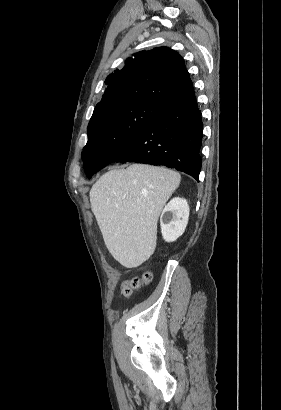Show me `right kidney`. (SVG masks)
Wrapping results in <instances>:
<instances>
[{"mask_svg": "<svg viewBox=\"0 0 281 410\" xmlns=\"http://www.w3.org/2000/svg\"><path fill=\"white\" fill-rule=\"evenodd\" d=\"M188 202L179 197L173 198L163 209L160 217V226L163 239L173 242L180 237L188 224Z\"/></svg>", "mask_w": 281, "mask_h": 410, "instance_id": "ca27d5eb", "label": "right kidney"}]
</instances>
